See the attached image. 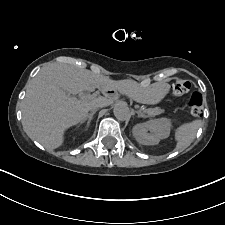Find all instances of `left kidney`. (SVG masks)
Wrapping results in <instances>:
<instances>
[{"instance_id":"obj_1","label":"left kidney","mask_w":225,"mask_h":225,"mask_svg":"<svg viewBox=\"0 0 225 225\" xmlns=\"http://www.w3.org/2000/svg\"><path fill=\"white\" fill-rule=\"evenodd\" d=\"M171 121L167 118L153 119L144 123L136 124L133 136L143 145H157L160 140L169 137ZM150 131V133H148Z\"/></svg>"}]
</instances>
